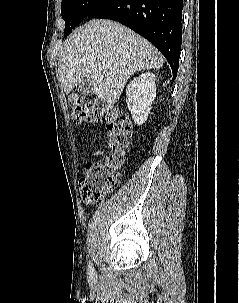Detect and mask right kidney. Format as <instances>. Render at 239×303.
<instances>
[{"label":"right kidney","mask_w":239,"mask_h":303,"mask_svg":"<svg viewBox=\"0 0 239 303\" xmlns=\"http://www.w3.org/2000/svg\"><path fill=\"white\" fill-rule=\"evenodd\" d=\"M155 75L147 72L134 78L126 88V102L136 124L142 125L156 97Z\"/></svg>","instance_id":"1"}]
</instances>
